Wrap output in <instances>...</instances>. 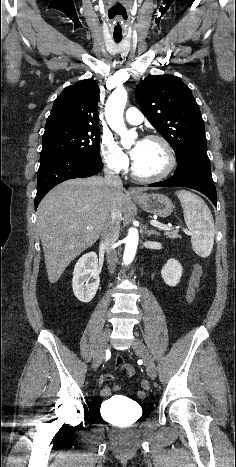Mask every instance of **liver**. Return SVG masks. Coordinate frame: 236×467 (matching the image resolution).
<instances>
[{"label":"liver","instance_id":"obj_1","mask_svg":"<svg viewBox=\"0 0 236 467\" xmlns=\"http://www.w3.org/2000/svg\"><path fill=\"white\" fill-rule=\"evenodd\" d=\"M128 200L102 177L67 180L53 188L37 209V229L48 280H59L68 264L99 238L113 208L121 220Z\"/></svg>","mask_w":236,"mask_h":467}]
</instances>
